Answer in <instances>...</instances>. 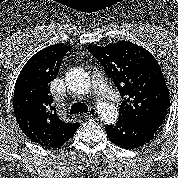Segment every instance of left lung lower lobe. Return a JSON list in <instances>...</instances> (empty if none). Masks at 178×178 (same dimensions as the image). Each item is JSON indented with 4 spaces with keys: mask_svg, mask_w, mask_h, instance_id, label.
<instances>
[{
    "mask_svg": "<svg viewBox=\"0 0 178 178\" xmlns=\"http://www.w3.org/2000/svg\"><path fill=\"white\" fill-rule=\"evenodd\" d=\"M161 124L151 120L118 118L116 125L105 127L109 140L125 149H134L148 143Z\"/></svg>",
    "mask_w": 178,
    "mask_h": 178,
    "instance_id": "left-lung-lower-lobe-1",
    "label": "left lung lower lobe"
}]
</instances>
